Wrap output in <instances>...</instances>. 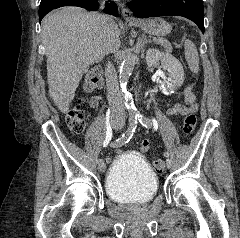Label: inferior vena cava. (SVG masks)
<instances>
[{
	"mask_svg": "<svg viewBox=\"0 0 240 238\" xmlns=\"http://www.w3.org/2000/svg\"><path fill=\"white\" fill-rule=\"evenodd\" d=\"M105 0H100V7H104ZM95 19L107 27L112 22V18L107 15L96 14ZM105 77L107 85V99L111 107L112 117L114 119L120 120L121 122L125 121V106L124 100L121 97L119 91V83L117 78V73L115 67L110 62L107 63L105 68Z\"/></svg>",
	"mask_w": 240,
	"mask_h": 238,
	"instance_id": "602c4592",
	"label": "inferior vena cava"
}]
</instances>
